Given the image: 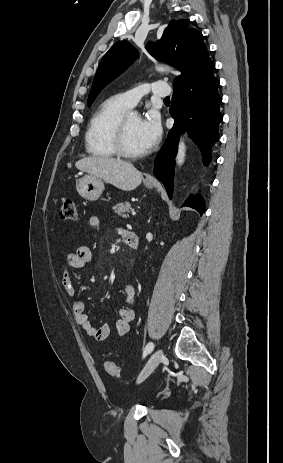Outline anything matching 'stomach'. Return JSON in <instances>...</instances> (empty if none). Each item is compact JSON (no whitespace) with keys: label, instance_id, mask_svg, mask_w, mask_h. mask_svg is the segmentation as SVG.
Returning a JSON list of instances; mask_svg holds the SVG:
<instances>
[{"label":"stomach","instance_id":"0dacf381","mask_svg":"<svg viewBox=\"0 0 283 463\" xmlns=\"http://www.w3.org/2000/svg\"><path fill=\"white\" fill-rule=\"evenodd\" d=\"M145 186L148 189H152L155 184L145 182ZM76 189L82 198L89 201H96L104 190V183L102 179L95 176H84L77 182Z\"/></svg>","mask_w":283,"mask_h":463}]
</instances>
